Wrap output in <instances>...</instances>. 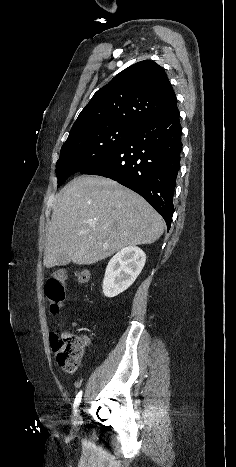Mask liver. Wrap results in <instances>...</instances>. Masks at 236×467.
I'll list each match as a JSON object with an SVG mask.
<instances>
[{
	"label": "liver",
	"mask_w": 236,
	"mask_h": 467,
	"mask_svg": "<svg viewBox=\"0 0 236 467\" xmlns=\"http://www.w3.org/2000/svg\"><path fill=\"white\" fill-rule=\"evenodd\" d=\"M163 231L162 217L137 193L108 178L79 176L56 195L44 265H61V254L74 264H94L125 247L154 243Z\"/></svg>",
	"instance_id": "1"
}]
</instances>
